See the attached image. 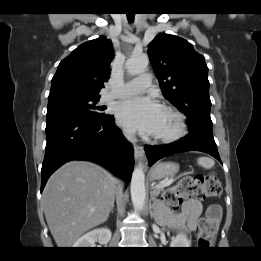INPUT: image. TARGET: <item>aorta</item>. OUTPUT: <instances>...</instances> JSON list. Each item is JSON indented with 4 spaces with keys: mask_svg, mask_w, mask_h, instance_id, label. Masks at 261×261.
I'll use <instances>...</instances> for the list:
<instances>
[{
    "mask_svg": "<svg viewBox=\"0 0 261 261\" xmlns=\"http://www.w3.org/2000/svg\"><path fill=\"white\" fill-rule=\"evenodd\" d=\"M149 63L148 57L144 55H133L127 60L125 66L129 74L137 75L145 71ZM131 200L137 210H141L145 203V173L141 166H137L131 178Z\"/></svg>",
    "mask_w": 261,
    "mask_h": 261,
    "instance_id": "aorta-1",
    "label": "aorta"
}]
</instances>
